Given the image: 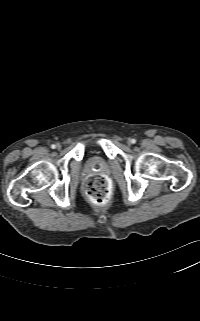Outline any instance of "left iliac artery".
Instances as JSON below:
<instances>
[{"instance_id":"44dca946","label":"left iliac artery","mask_w":200,"mask_h":321,"mask_svg":"<svg viewBox=\"0 0 200 321\" xmlns=\"http://www.w3.org/2000/svg\"><path fill=\"white\" fill-rule=\"evenodd\" d=\"M132 143H133V144L136 143V140H135V139H132Z\"/></svg>"}]
</instances>
